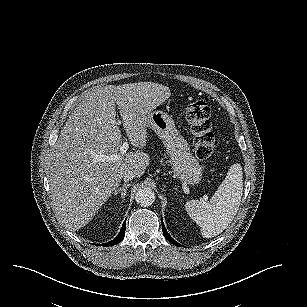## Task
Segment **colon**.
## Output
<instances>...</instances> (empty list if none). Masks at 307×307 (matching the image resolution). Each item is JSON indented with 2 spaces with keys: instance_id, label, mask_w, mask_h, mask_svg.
Segmentation results:
<instances>
[{
  "instance_id": "1",
  "label": "colon",
  "mask_w": 307,
  "mask_h": 307,
  "mask_svg": "<svg viewBox=\"0 0 307 307\" xmlns=\"http://www.w3.org/2000/svg\"><path fill=\"white\" fill-rule=\"evenodd\" d=\"M210 114L209 105L203 100L191 103L186 109V120L194 136V152L200 160L211 157L215 148Z\"/></svg>"
}]
</instances>
